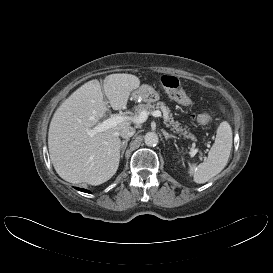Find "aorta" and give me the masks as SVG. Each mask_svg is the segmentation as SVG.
<instances>
[{"mask_svg": "<svg viewBox=\"0 0 273 273\" xmlns=\"http://www.w3.org/2000/svg\"><path fill=\"white\" fill-rule=\"evenodd\" d=\"M158 141V135L154 132H148L144 136V142L149 147L156 146L158 144Z\"/></svg>", "mask_w": 273, "mask_h": 273, "instance_id": "obj_1", "label": "aorta"}]
</instances>
